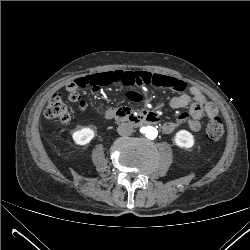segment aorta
<instances>
[{"instance_id":"obj_1","label":"aorta","mask_w":250,"mask_h":250,"mask_svg":"<svg viewBox=\"0 0 250 250\" xmlns=\"http://www.w3.org/2000/svg\"><path fill=\"white\" fill-rule=\"evenodd\" d=\"M142 133H144L145 136L151 140L155 139L158 135L157 129L155 127H152V126L144 127L142 129Z\"/></svg>"}]
</instances>
